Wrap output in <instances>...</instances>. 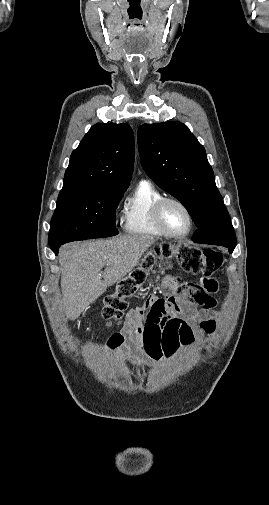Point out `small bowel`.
<instances>
[{
	"label": "small bowel",
	"mask_w": 269,
	"mask_h": 505,
	"mask_svg": "<svg viewBox=\"0 0 269 505\" xmlns=\"http://www.w3.org/2000/svg\"><path fill=\"white\" fill-rule=\"evenodd\" d=\"M205 274H186L189 279H201L200 285L186 284L178 289L172 275H167L163 290L152 292L144 298L143 307H136L127 315L128 328L114 334L107 342L108 351L124 346L126 355L133 361L149 358L160 361L171 358L181 346L201 344L205 335L216 332V271ZM201 308L198 309L197 307Z\"/></svg>",
	"instance_id": "1"
}]
</instances>
